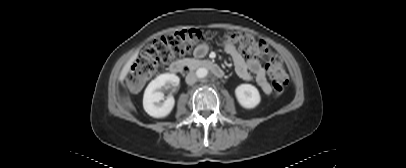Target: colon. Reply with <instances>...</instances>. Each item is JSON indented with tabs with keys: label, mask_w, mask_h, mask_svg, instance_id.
I'll use <instances>...</instances> for the list:
<instances>
[{
	"label": "colon",
	"mask_w": 406,
	"mask_h": 168,
	"mask_svg": "<svg viewBox=\"0 0 406 168\" xmlns=\"http://www.w3.org/2000/svg\"><path fill=\"white\" fill-rule=\"evenodd\" d=\"M226 37L245 56L267 58L272 88L276 95H281L288 84V75L281 59L270 52L268 45L264 41H256L247 33L229 32ZM204 38V31L190 28L154 40L132 64L127 75L129 86L135 91L139 90L157 68L186 55Z\"/></svg>",
	"instance_id": "obj_1"
}]
</instances>
